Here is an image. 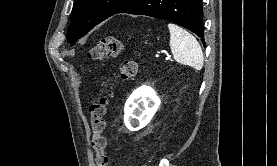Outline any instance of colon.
<instances>
[{
	"instance_id": "5ec220e1",
	"label": "colon",
	"mask_w": 277,
	"mask_h": 166,
	"mask_svg": "<svg viewBox=\"0 0 277 166\" xmlns=\"http://www.w3.org/2000/svg\"><path fill=\"white\" fill-rule=\"evenodd\" d=\"M125 52L124 42L115 37L107 36L96 42L88 51L90 60L99 61L115 58ZM138 70V63L134 57L124 59L119 65V78L122 80L133 79ZM113 95V81L107 78L104 91L90 105V129L92 137L91 148L95 151V165L108 166L109 159L106 153L105 114L108 103Z\"/></svg>"
}]
</instances>
